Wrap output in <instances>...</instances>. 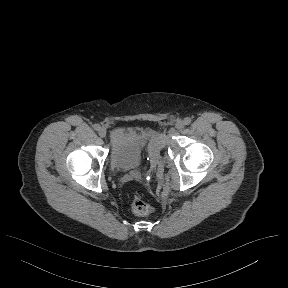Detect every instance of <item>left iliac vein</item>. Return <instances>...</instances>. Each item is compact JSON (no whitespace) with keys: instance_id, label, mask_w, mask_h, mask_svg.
<instances>
[{"instance_id":"1","label":"left iliac vein","mask_w":288,"mask_h":288,"mask_svg":"<svg viewBox=\"0 0 288 288\" xmlns=\"http://www.w3.org/2000/svg\"><path fill=\"white\" fill-rule=\"evenodd\" d=\"M176 129L181 130L184 128V122L183 121H178L175 125Z\"/></svg>"}]
</instances>
